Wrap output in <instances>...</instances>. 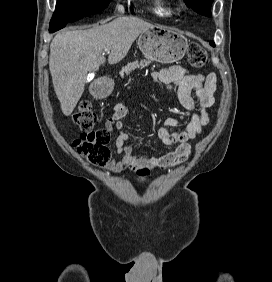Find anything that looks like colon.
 <instances>
[{
    "instance_id": "1",
    "label": "colon",
    "mask_w": 272,
    "mask_h": 282,
    "mask_svg": "<svg viewBox=\"0 0 272 282\" xmlns=\"http://www.w3.org/2000/svg\"><path fill=\"white\" fill-rule=\"evenodd\" d=\"M206 50L197 43L188 48V60L194 67H202L207 63ZM98 119L97 113L89 101H81L73 114L74 123L80 127L81 133L73 140V147L95 166H104L110 159L109 129L93 130Z\"/></svg>"
}]
</instances>
